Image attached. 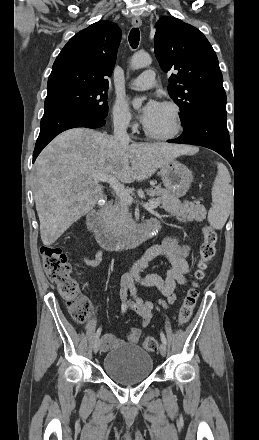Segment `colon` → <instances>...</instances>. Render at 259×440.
<instances>
[{"mask_svg": "<svg viewBox=\"0 0 259 440\" xmlns=\"http://www.w3.org/2000/svg\"><path fill=\"white\" fill-rule=\"evenodd\" d=\"M217 238V233L212 227L203 228V241L199 249L200 258L194 272L195 280L187 290L180 306L179 325H185L193 314L199 297L198 281L204 277L207 264L215 255ZM40 253L46 275L56 284L59 294L67 303L71 317L77 323H84L91 313L92 306L87 298L81 296L79 283L72 276L66 254L56 246H42ZM142 346L148 351H154L158 347V342L154 337L146 336L142 340Z\"/></svg>", "mask_w": 259, "mask_h": 440, "instance_id": "obj_1", "label": "colon"}]
</instances>
